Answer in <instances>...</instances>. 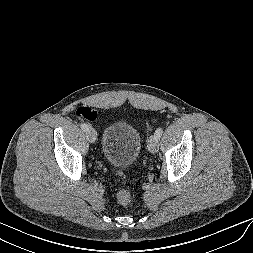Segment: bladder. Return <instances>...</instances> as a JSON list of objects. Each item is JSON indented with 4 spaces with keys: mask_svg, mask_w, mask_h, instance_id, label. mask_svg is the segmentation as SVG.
<instances>
[{
    "mask_svg": "<svg viewBox=\"0 0 253 253\" xmlns=\"http://www.w3.org/2000/svg\"><path fill=\"white\" fill-rule=\"evenodd\" d=\"M142 139L133 125L126 121L108 124L101 137L104 159L115 168L132 166L140 153Z\"/></svg>",
    "mask_w": 253,
    "mask_h": 253,
    "instance_id": "1",
    "label": "bladder"
}]
</instances>
